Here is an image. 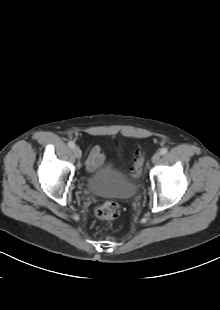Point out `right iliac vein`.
<instances>
[{
	"label": "right iliac vein",
	"mask_w": 220,
	"mask_h": 310,
	"mask_svg": "<svg viewBox=\"0 0 220 310\" xmlns=\"http://www.w3.org/2000/svg\"><path fill=\"white\" fill-rule=\"evenodd\" d=\"M73 154H74L75 158H77V159H80L82 156V152H81L80 148L77 146H75L73 148Z\"/></svg>",
	"instance_id": "63e3f726"
}]
</instances>
